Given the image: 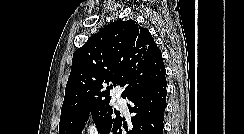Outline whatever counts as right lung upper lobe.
<instances>
[{"mask_svg": "<svg viewBox=\"0 0 244 134\" xmlns=\"http://www.w3.org/2000/svg\"><path fill=\"white\" fill-rule=\"evenodd\" d=\"M165 74L161 51L147 28L133 20L108 24L74 52L60 120L110 101L113 86H125L126 98Z\"/></svg>", "mask_w": 244, "mask_h": 134, "instance_id": "right-lung-upper-lobe-1", "label": "right lung upper lobe"}]
</instances>
